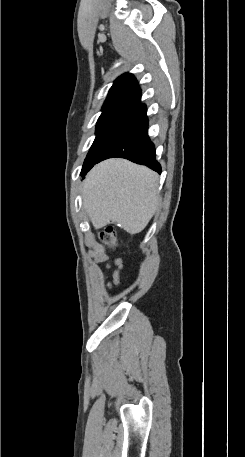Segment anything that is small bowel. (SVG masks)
I'll use <instances>...</instances> for the list:
<instances>
[{"label": "small bowel", "mask_w": 245, "mask_h": 457, "mask_svg": "<svg viewBox=\"0 0 245 457\" xmlns=\"http://www.w3.org/2000/svg\"><path fill=\"white\" fill-rule=\"evenodd\" d=\"M107 257L105 256H102L99 258V261H104L106 260ZM115 270L112 272V275H111V278H110V282H109V286H114V285H117L119 284L120 282V278H121V273H122V270H123V263L120 259H117L115 261ZM104 269H105V273L106 275H109V271H110V265L109 264H105L104 265Z\"/></svg>", "instance_id": "obj_1"}]
</instances>
